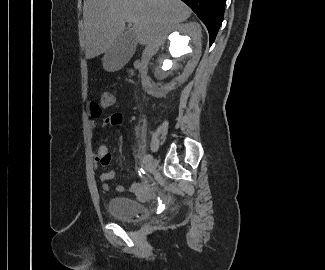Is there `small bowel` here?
Returning a JSON list of instances; mask_svg holds the SVG:
<instances>
[{"label":"small bowel","instance_id":"1","mask_svg":"<svg viewBox=\"0 0 325 270\" xmlns=\"http://www.w3.org/2000/svg\"><path fill=\"white\" fill-rule=\"evenodd\" d=\"M102 96H113L111 93L105 92ZM114 103H99V101H92L89 104V114L92 117V120L89 123V127L91 132H94L98 126L95 121L96 118L102 115L104 109L113 106ZM123 120V115L120 112H114L109 116L103 119L102 125L104 127H118L121 125ZM113 160V156L108 151V148L105 144L101 143L98 147L97 153L94 155V161L96 165L102 167H108ZM115 177V173L113 171H108L99 176V180L101 182L102 189L104 191H109L110 186L108 184V180H111ZM117 192H124L125 188L123 185H118L116 187ZM130 191L140 200L148 201L151 199L152 194L151 191L146 188L142 182H135L131 185Z\"/></svg>","mask_w":325,"mask_h":270}]
</instances>
